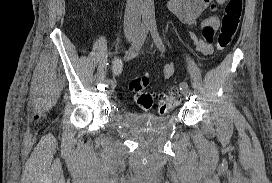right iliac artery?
<instances>
[{
  "label": "right iliac artery",
  "instance_id": "obj_1",
  "mask_svg": "<svg viewBox=\"0 0 272 183\" xmlns=\"http://www.w3.org/2000/svg\"><path fill=\"white\" fill-rule=\"evenodd\" d=\"M149 29H150L149 24H146V23L141 24L136 40L133 42L131 47L126 51V54L124 56L125 61H129L133 59L134 57H136L142 45L144 44V41L147 37ZM111 79L114 81L116 78L113 76ZM111 79H107V80L112 81Z\"/></svg>",
  "mask_w": 272,
  "mask_h": 183
}]
</instances>
